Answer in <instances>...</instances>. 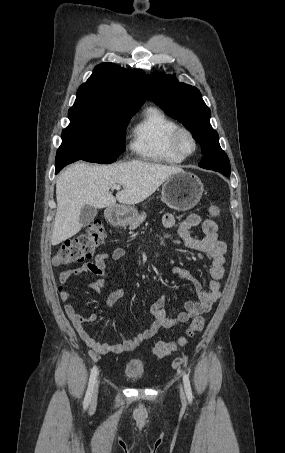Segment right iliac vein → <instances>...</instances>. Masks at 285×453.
Masks as SVG:
<instances>
[{"label": "right iliac vein", "mask_w": 285, "mask_h": 453, "mask_svg": "<svg viewBox=\"0 0 285 453\" xmlns=\"http://www.w3.org/2000/svg\"><path fill=\"white\" fill-rule=\"evenodd\" d=\"M97 398H98V381H96V384H95V387L93 390V394H92V399H91L92 406H94L96 404Z\"/></svg>", "instance_id": "right-iliac-vein-1"}]
</instances>
